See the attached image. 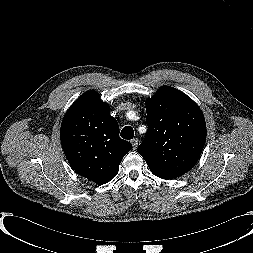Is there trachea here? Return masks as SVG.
I'll return each instance as SVG.
<instances>
[{
	"instance_id": "trachea-1",
	"label": "trachea",
	"mask_w": 253,
	"mask_h": 253,
	"mask_svg": "<svg viewBox=\"0 0 253 253\" xmlns=\"http://www.w3.org/2000/svg\"><path fill=\"white\" fill-rule=\"evenodd\" d=\"M121 137L123 139L126 140H130L134 137V131L133 128L131 126H125L122 130H121Z\"/></svg>"
}]
</instances>
